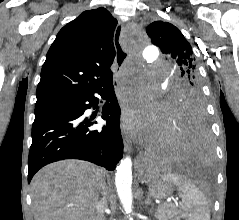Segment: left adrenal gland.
Instances as JSON below:
<instances>
[{
	"label": "left adrenal gland",
	"mask_w": 239,
	"mask_h": 220,
	"mask_svg": "<svg viewBox=\"0 0 239 220\" xmlns=\"http://www.w3.org/2000/svg\"><path fill=\"white\" fill-rule=\"evenodd\" d=\"M144 204H145V208L148 209V206H151L150 209H148V213L152 214L153 213V203L151 202V198L150 196H148L145 201H144Z\"/></svg>",
	"instance_id": "left-adrenal-gland-1"
}]
</instances>
